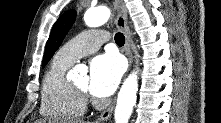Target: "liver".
<instances>
[{
	"label": "liver",
	"instance_id": "6515ba94",
	"mask_svg": "<svg viewBox=\"0 0 221 123\" xmlns=\"http://www.w3.org/2000/svg\"><path fill=\"white\" fill-rule=\"evenodd\" d=\"M69 123H84L83 120H67ZM35 123H46V120H37Z\"/></svg>",
	"mask_w": 221,
	"mask_h": 123
}]
</instances>
